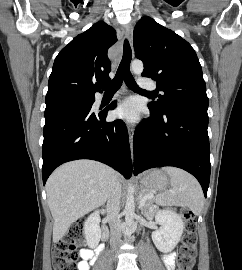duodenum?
Listing matches in <instances>:
<instances>
[{"instance_id":"duodenum-1","label":"duodenum","mask_w":242,"mask_h":270,"mask_svg":"<svg viewBox=\"0 0 242 270\" xmlns=\"http://www.w3.org/2000/svg\"><path fill=\"white\" fill-rule=\"evenodd\" d=\"M108 235H109V233H108L107 228L103 227V229H102V239L106 240L108 238Z\"/></svg>"}]
</instances>
